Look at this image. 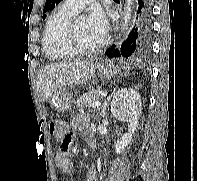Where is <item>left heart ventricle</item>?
I'll list each match as a JSON object with an SVG mask.
<instances>
[{
	"label": "left heart ventricle",
	"instance_id": "b2bd125f",
	"mask_svg": "<svg viewBox=\"0 0 197 181\" xmlns=\"http://www.w3.org/2000/svg\"><path fill=\"white\" fill-rule=\"evenodd\" d=\"M76 35L78 43L86 49L96 47L101 42V40L89 30L87 21L85 20L76 21Z\"/></svg>",
	"mask_w": 197,
	"mask_h": 181
}]
</instances>
